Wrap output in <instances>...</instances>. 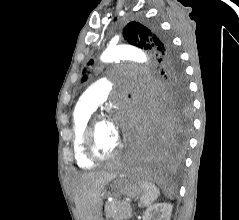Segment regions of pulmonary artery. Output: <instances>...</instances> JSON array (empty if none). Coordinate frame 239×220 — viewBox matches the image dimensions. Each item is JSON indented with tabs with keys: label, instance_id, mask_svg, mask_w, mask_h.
I'll return each mask as SVG.
<instances>
[{
	"label": "pulmonary artery",
	"instance_id": "1",
	"mask_svg": "<svg viewBox=\"0 0 239 220\" xmlns=\"http://www.w3.org/2000/svg\"><path fill=\"white\" fill-rule=\"evenodd\" d=\"M110 83L106 79H100L87 88L80 96L79 103L95 110L108 97Z\"/></svg>",
	"mask_w": 239,
	"mask_h": 220
}]
</instances>
